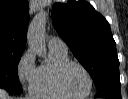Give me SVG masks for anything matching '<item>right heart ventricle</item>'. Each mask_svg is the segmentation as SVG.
Here are the masks:
<instances>
[{
    "instance_id": "right-heart-ventricle-1",
    "label": "right heart ventricle",
    "mask_w": 128,
    "mask_h": 99,
    "mask_svg": "<svg viewBox=\"0 0 128 99\" xmlns=\"http://www.w3.org/2000/svg\"><path fill=\"white\" fill-rule=\"evenodd\" d=\"M69 60L68 53L49 48L48 59L36 68L30 86L32 96L38 99H66L57 87L56 72L58 67Z\"/></svg>"
}]
</instances>
